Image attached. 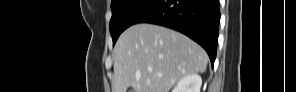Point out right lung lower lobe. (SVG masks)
<instances>
[{
    "mask_svg": "<svg viewBox=\"0 0 296 92\" xmlns=\"http://www.w3.org/2000/svg\"><path fill=\"white\" fill-rule=\"evenodd\" d=\"M219 22V0H157L134 24H158L184 33L206 50L213 65Z\"/></svg>",
    "mask_w": 296,
    "mask_h": 92,
    "instance_id": "right-lung-lower-lobe-1",
    "label": "right lung lower lobe"
}]
</instances>
